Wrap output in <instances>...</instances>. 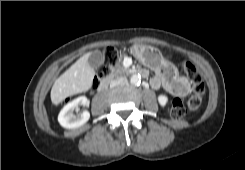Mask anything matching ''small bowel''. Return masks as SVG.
<instances>
[{
    "label": "small bowel",
    "mask_w": 245,
    "mask_h": 170,
    "mask_svg": "<svg viewBox=\"0 0 245 170\" xmlns=\"http://www.w3.org/2000/svg\"><path fill=\"white\" fill-rule=\"evenodd\" d=\"M177 82H184L177 69L169 63H163L157 68L155 76L151 78L150 85L154 89L163 86L168 92L174 93Z\"/></svg>",
    "instance_id": "small-bowel-1"
}]
</instances>
